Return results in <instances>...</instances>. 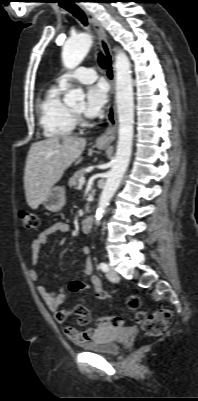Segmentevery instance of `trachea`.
<instances>
[{"instance_id": "trachea-1", "label": "trachea", "mask_w": 198, "mask_h": 401, "mask_svg": "<svg viewBox=\"0 0 198 401\" xmlns=\"http://www.w3.org/2000/svg\"><path fill=\"white\" fill-rule=\"evenodd\" d=\"M62 7L72 13L82 24L87 25L85 13L74 3V0H69ZM98 63L103 69L107 68V59L101 53L98 54Z\"/></svg>"}]
</instances>
